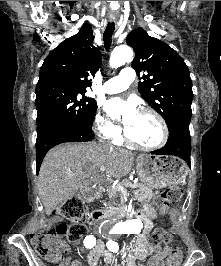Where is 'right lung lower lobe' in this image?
Here are the masks:
<instances>
[{"mask_svg": "<svg viewBox=\"0 0 221 266\" xmlns=\"http://www.w3.org/2000/svg\"><path fill=\"white\" fill-rule=\"evenodd\" d=\"M92 129L65 124L48 130L36 140V173L46 153L54 146L65 142L90 141L94 138Z\"/></svg>", "mask_w": 221, "mask_h": 266, "instance_id": "obj_1", "label": "right lung lower lobe"}]
</instances>
